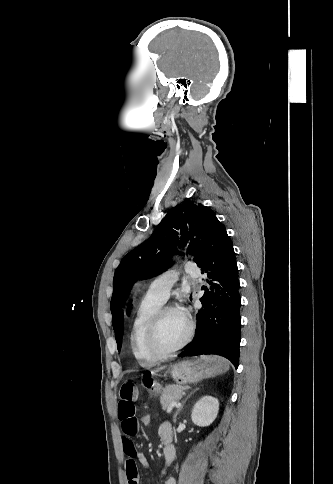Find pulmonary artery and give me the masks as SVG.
<instances>
[{
  "label": "pulmonary artery",
  "instance_id": "pulmonary-artery-1",
  "mask_svg": "<svg viewBox=\"0 0 333 484\" xmlns=\"http://www.w3.org/2000/svg\"><path fill=\"white\" fill-rule=\"evenodd\" d=\"M185 270L191 277H196L199 274V271L192 264H187ZM177 277L178 275L175 271L163 273L150 283L146 296L164 303L168 299L170 290L176 282Z\"/></svg>",
  "mask_w": 333,
  "mask_h": 484
}]
</instances>
